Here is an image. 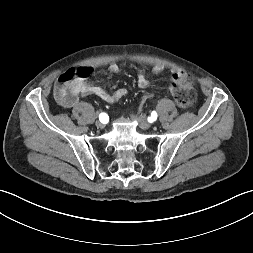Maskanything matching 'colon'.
Segmentation results:
<instances>
[{"mask_svg": "<svg viewBox=\"0 0 253 253\" xmlns=\"http://www.w3.org/2000/svg\"><path fill=\"white\" fill-rule=\"evenodd\" d=\"M89 75L87 68H78L68 70L63 73L55 85V95L60 102H69L73 99L72 85L77 79L86 78ZM170 91L175 97L177 105L182 109H190L196 101V93L193 82L187 76L178 82H173L170 86ZM156 91L151 90L141 96L138 103L139 110H144L147 100L153 99L156 96Z\"/></svg>", "mask_w": 253, "mask_h": 253, "instance_id": "colon-1", "label": "colon"}]
</instances>
